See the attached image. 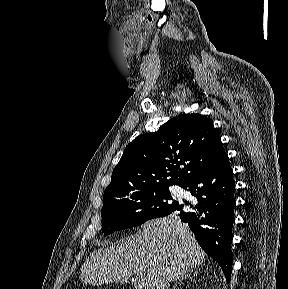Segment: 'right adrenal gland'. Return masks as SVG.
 <instances>
[{"label":"right adrenal gland","instance_id":"right-adrenal-gland-1","mask_svg":"<svg viewBox=\"0 0 288 289\" xmlns=\"http://www.w3.org/2000/svg\"><path fill=\"white\" fill-rule=\"evenodd\" d=\"M196 273H197V272H195V274H196ZM187 278L192 279L191 274H188V275L182 277L181 279H179V281L175 284V286H174L173 289H176V288H177V285H178L180 282H182L183 280L187 279Z\"/></svg>","mask_w":288,"mask_h":289}]
</instances>
